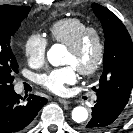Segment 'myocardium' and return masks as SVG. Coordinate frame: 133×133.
Segmentation results:
<instances>
[{
	"instance_id": "1",
	"label": "myocardium",
	"mask_w": 133,
	"mask_h": 133,
	"mask_svg": "<svg viewBox=\"0 0 133 133\" xmlns=\"http://www.w3.org/2000/svg\"><path fill=\"white\" fill-rule=\"evenodd\" d=\"M91 36L94 37L96 41L97 53L92 65L87 68L77 69L78 72L84 76H90L95 74L103 65L105 58V40L102 32L96 27L88 26L79 33V35L70 45L67 46L69 51L77 53L82 49L87 39Z\"/></svg>"
}]
</instances>
